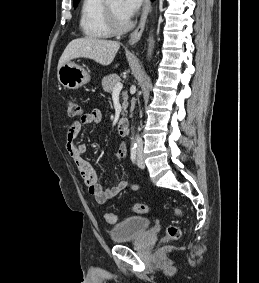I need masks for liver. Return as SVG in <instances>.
Instances as JSON below:
<instances>
[{
	"mask_svg": "<svg viewBox=\"0 0 259 283\" xmlns=\"http://www.w3.org/2000/svg\"><path fill=\"white\" fill-rule=\"evenodd\" d=\"M119 47L118 42L91 36L74 39L67 45L60 57L58 69L68 61L79 57L89 58L107 66L113 61Z\"/></svg>",
	"mask_w": 259,
	"mask_h": 283,
	"instance_id": "1",
	"label": "liver"
}]
</instances>
